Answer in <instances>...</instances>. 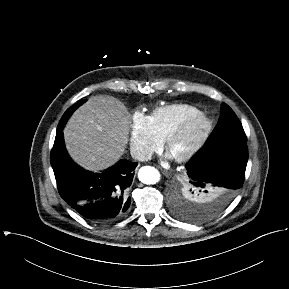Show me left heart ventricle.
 <instances>
[{"mask_svg": "<svg viewBox=\"0 0 289 289\" xmlns=\"http://www.w3.org/2000/svg\"><path fill=\"white\" fill-rule=\"evenodd\" d=\"M202 129V123L197 122L194 124L192 129L190 130L189 134L185 139L182 141L178 142L172 149V154L176 155L182 152L191 142L192 140L199 134V132Z\"/></svg>", "mask_w": 289, "mask_h": 289, "instance_id": "left-heart-ventricle-1", "label": "left heart ventricle"}]
</instances>
